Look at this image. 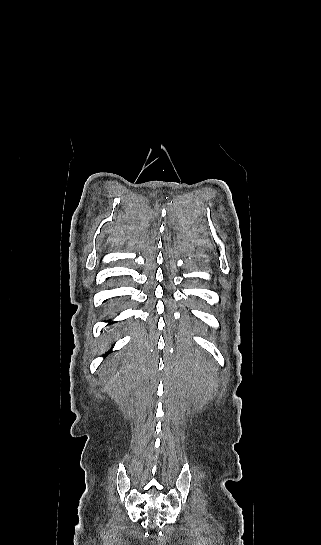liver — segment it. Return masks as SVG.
<instances>
[{
	"label": "liver",
	"mask_w": 321,
	"mask_h": 545,
	"mask_svg": "<svg viewBox=\"0 0 321 545\" xmlns=\"http://www.w3.org/2000/svg\"><path fill=\"white\" fill-rule=\"evenodd\" d=\"M108 345H101V351L100 353H103V351H105V349H107Z\"/></svg>",
	"instance_id": "obj_1"
}]
</instances>
